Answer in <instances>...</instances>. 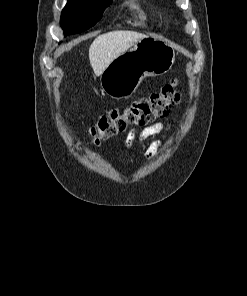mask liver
Returning a JSON list of instances; mask_svg holds the SVG:
<instances>
[{
    "label": "liver",
    "instance_id": "1",
    "mask_svg": "<svg viewBox=\"0 0 247 296\" xmlns=\"http://www.w3.org/2000/svg\"><path fill=\"white\" fill-rule=\"evenodd\" d=\"M145 37V34L134 31H111L96 37L89 48L95 75L100 76L113 60Z\"/></svg>",
    "mask_w": 247,
    "mask_h": 296
}]
</instances>
